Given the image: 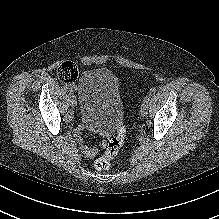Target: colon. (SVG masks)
I'll return each mask as SVG.
<instances>
[{"label": "colon", "instance_id": "colon-1", "mask_svg": "<svg viewBox=\"0 0 219 219\" xmlns=\"http://www.w3.org/2000/svg\"><path fill=\"white\" fill-rule=\"evenodd\" d=\"M57 76L60 81L66 84L74 83L78 77V70L74 63L63 62L57 69ZM79 136V135H78ZM126 139V129L120 124L116 134L110 139L104 154L98 158L94 166L98 170H106L111 164V160L118 154Z\"/></svg>", "mask_w": 219, "mask_h": 219}]
</instances>
